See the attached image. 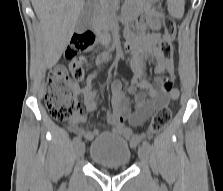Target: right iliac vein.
<instances>
[{"label": "right iliac vein", "mask_w": 223, "mask_h": 191, "mask_svg": "<svg viewBox=\"0 0 223 191\" xmlns=\"http://www.w3.org/2000/svg\"><path fill=\"white\" fill-rule=\"evenodd\" d=\"M85 151V144L82 141H79L75 146V152L74 155L77 159H80Z\"/></svg>", "instance_id": "obj_1"}]
</instances>
